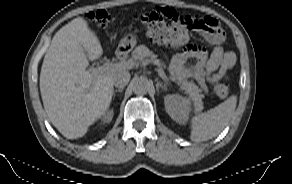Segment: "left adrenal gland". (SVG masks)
Listing matches in <instances>:
<instances>
[{
	"instance_id": "obj_1",
	"label": "left adrenal gland",
	"mask_w": 292,
	"mask_h": 184,
	"mask_svg": "<svg viewBox=\"0 0 292 184\" xmlns=\"http://www.w3.org/2000/svg\"><path fill=\"white\" fill-rule=\"evenodd\" d=\"M156 81H157V83H156L157 91H159L160 87L164 90H167V87H166L167 83H162V82L158 81L157 79H156Z\"/></svg>"
}]
</instances>
